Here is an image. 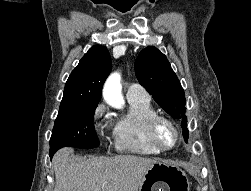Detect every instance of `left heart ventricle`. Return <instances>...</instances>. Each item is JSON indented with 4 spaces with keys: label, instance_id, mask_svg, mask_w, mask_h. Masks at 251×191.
<instances>
[{
    "label": "left heart ventricle",
    "instance_id": "left-heart-ventricle-1",
    "mask_svg": "<svg viewBox=\"0 0 251 191\" xmlns=\"http://www.w3.org/2000/svg\"><path fill=\"white\" fill-rule=\"evenodd\" d=\"M156 139L162 149L170 150L177 144L178 135L169 123L162 121L157 124Z\"/></svg>",
    "mask_w": 251,
    "mask_h": 191
}]
</instances>
